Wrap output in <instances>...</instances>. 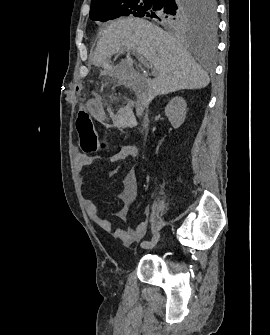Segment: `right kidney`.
Listing matches in <instances>:
<instances>
[{"label": "right kidney", "instance_id": "ca27d5eb", "mask_svg": "<svg viewBox=\"0 0 270 335\" xmlns=\"http://www.w3.org/2000/svg\"><path fill=\"white\" fill-rule=\"evenodd\" d=\"M186 102L181 96L172 98L165 108V114L169 118L173 128H180L186 118Z\"/></svg>", "mask_w": 270, "mask_h": 335}]
</instances>
